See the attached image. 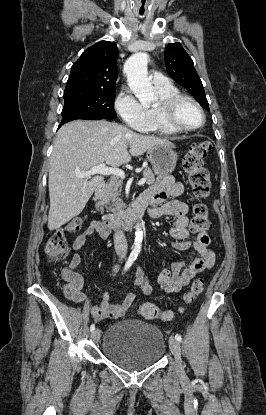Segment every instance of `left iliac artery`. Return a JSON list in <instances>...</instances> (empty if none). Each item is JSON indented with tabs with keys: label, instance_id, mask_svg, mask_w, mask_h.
Masks as SVG:
<instances>
[{
	"label": "left iliac artery",
	"instance_id": "44dca946",
	"mask_svg": "<svg viewBox=\"0 0 266 415\" xmlns=\"http://www.w3.org/2000/svg\"><path fill=\"white\" fill-rule=\"evenodd\" d=\"M175 339H176L177 341H179V342H181V341H182V337H181V335H180V334H176V335H175Z\"/></svg>",
	"mask_w": 266,
	"mask_h": 415
}]
</instances>
